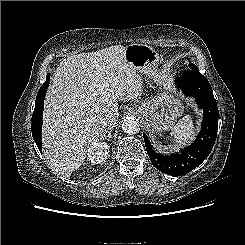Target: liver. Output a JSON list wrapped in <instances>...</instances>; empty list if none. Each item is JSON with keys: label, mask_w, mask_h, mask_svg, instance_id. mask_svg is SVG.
<instances>
[{"label": "liver", "mask_w": 245, "mask_h": 245, "mask_svg": "<svg viewBox=\"0 0 245 245\" xmlns=\"http://www.w3.org/2000/svg\"><path fill=\"white\" fill-rule=\"evenodd\" d=\"M126 47L114 45L63 59L51 80L43 117L44 156L69 177L85 161L88 149L105 139L106 114L118 113V101L139 98L142 84L125 59Z\"/></svg>", "instance_id": "1"}]
</instances>
